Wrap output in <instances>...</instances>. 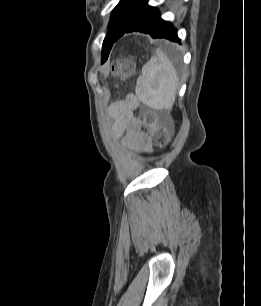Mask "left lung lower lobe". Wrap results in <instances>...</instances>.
I'll use <instances>...</instances> for the list:
<instances>
[{
  "mask_svg": "<svg viewBox=\"0 0 261 306\" xmlns=\"http://www.w3.org/2000/svg\"><path fill=\"white\" fill-rule=\"evenodd\" d=\"M134 31L150 34L153 38H166L170 41L180 43L177 30L171 23L161 19L158 10L149 6L147 0L120 37L125 33Z\"/></svg>",
  "mask_w": 261,
  "mask_h": 306,
  "instance_id": "obj_1",
  "label": "left lung lower lobe"
}]
</instances>
